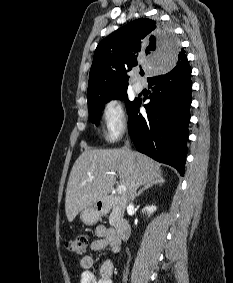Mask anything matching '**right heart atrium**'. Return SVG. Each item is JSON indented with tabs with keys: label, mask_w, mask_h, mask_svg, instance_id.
I'll list each match as a JSON object with an SVG mask.
<instances>
[{
	"label": "right heart atrium",
	"mask_w": 233,
	"mask_h": 283,
	"mask_svg": "<svg viewBox=\"0 0 233 283\" xmlns=\"http://www.w3.org/2000/svg\"><path fill=\"white\" fill-rule=\"evenodd\" d=\"M101 119L103 138L106 142H115L126 131L127 121L122 103L116 99L108 100L102 107Z\"/></svg>",
	"instance_id": "obj_1"
}]
</instances>
